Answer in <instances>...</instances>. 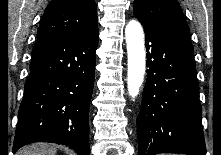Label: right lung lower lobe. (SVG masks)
Wrapping results in <instances>:
<instances>
[{
  "label": "right lung lower lobe",
  "instance_id": "right-lung-lower-lobe-1",
  "mask_svg": "<svg viewBox=\"0 0 221 155\" xmlns=\"http://www.w3.org/2000/svg\"><path fill=\"white\" fill-rule=\"evenodd\" d=\"M98 27L39 38L18 114L13 152L32 142L67 145L89 155V105Z\"/></svg>",
  "mask_w": 221,
  "mask_h": 155
}]
</instances>
